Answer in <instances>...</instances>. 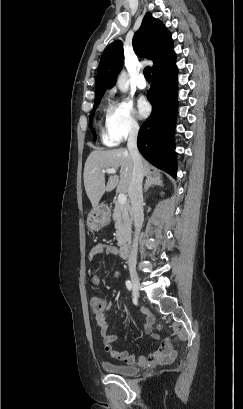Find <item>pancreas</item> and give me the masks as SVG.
I'll return each mask as SVG.
<instances>
[{"instance_id":"1","label":"pancreas","mask_w":243,"mask_h":409,"mask_svg":"<svg viewBox=\"0 0 243 409\" xmlns=\"http://www.w3.org/2000/svg\"><path fill=\"white\" fill-rule=\"evenodd\" d=\"M113 218L115 221L116 236L119 244H124L130 240L132 218L129 205L115 204L113 211Z\"/></svg>"}]
</instances>
